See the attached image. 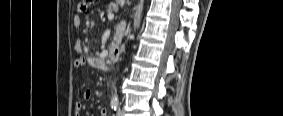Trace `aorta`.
<instances>
[{
	"label": "aorta",
	"instance_id": "762f6f07",
	"mask_svg": "<svg viewBox=\"0 0 283 116\" xmlns=\"http://www.w3.org/2000/svg\"><path fill=\"white\" fill-rule=\"evenodd\" d=\"M112 100H113V101H117V100H118V96H117L116 93L113 95Z\"/></svg>",
	"mask_w": 283,
	"mask_h": 116
}]
</instances>
